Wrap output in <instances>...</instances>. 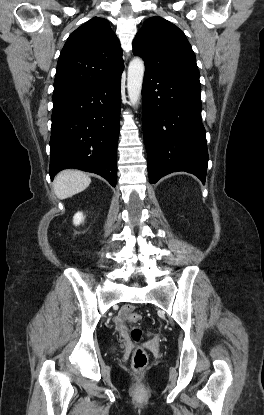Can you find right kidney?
Masks as SVG:
<instances>
[{"label": "right kidney", "instance_id": "right-kidney-1", "mask_svg": "<svg viewBox=\"0 0 264 415\" xmlns=\"http://www.w3.org/2000/svg\"><path fill=\"white\" fill-rule=\"evenodd\" d=\"M83 220H84V216L81 212L76 213L73 217V223L75 225H79L80 223L83 222Z\"/></svg>", "mask_w": 264, "mask_h": 415}]
</instances>
